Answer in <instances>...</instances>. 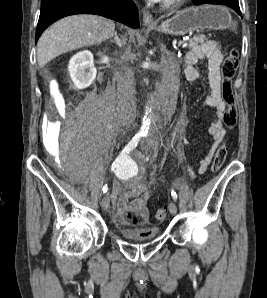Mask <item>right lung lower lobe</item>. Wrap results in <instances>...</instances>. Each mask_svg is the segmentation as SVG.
<instances>
[{"mask_svg":"<svg viewBox=\"0 0 267 298\" xmlns=\"http://www.w3.org/2000/svg\"><path fill=\"white\" fill-rule=\"evenodd\" d=\"M74 14H96L139 27L138 9L132 0H42L36 42L53 22Z\"/></svg>","mask_w":267,"mask_h":298,"instance_id":"1","label":"right lung lower lobe"}]
</instances>
